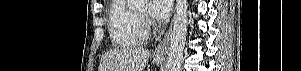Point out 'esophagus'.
Here are the masks:
<instances>
[{
    "mask_svg": "<svg viewBox=\"0 0 301 71\" xmlns=\"http://www.w3.org/2000/svg\"><path fill=\"white\" fill-rule=\"evenodd\" d=\"M172 31V23L170 24L167 32L165 33L164 38L159 43V45L155 48L153 52V57L156 59H164L167 54V49L169 45V39Z\"/></svg>",
    "mask_w": 301,
    "mask_h": 71,
    "instance_id": "34e87169",
    "label": "esophagus"
}]
</instances>
